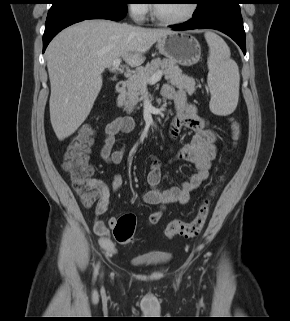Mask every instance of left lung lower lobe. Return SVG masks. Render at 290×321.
<instances>
[{
  "label": "left lung lower lobe",
  "mask_w": 290,
  "mask_h": 321,
  "mask_svg": "<svg viewBox=\"0 0 290 321\" xmlns=\"http://www.w3.org/2000/svg\"><path fill=\"white\" fill-rule=\"evenodd\" d=\"M241 0H216L194 18L180 25L170 26L175 31L216 29L231 37L246 54L245 31L239 4Z\"/></svg>",
  "instance_id": "obj_1"
}]
</instances>
